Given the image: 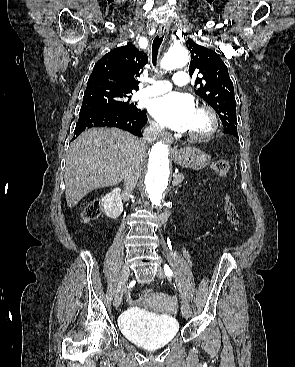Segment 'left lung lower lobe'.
<instances>
[{"instance_id":"obj_1","label":"left lung lower lobe","mask_w":295,"mask_h":367,"mask_svg":"<svg viewBox=\"0 0 295 367\" xmlns=\"http://www.w3.org/2000/svg\"><path fill=\"white\" fill-rule=\"evenodd\" d=\"M224 133L229 134V135H232V136H234V137L238 138L237 131H235V130H232V129H226V130H224ZM238 139H239V138H238Z\"/></svg>"}]
</instances>
